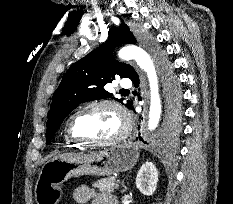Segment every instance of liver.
Returning <instances> with one entry per match:
<instances>
[{"instance_id": "obj_1", "label": "liver", "mask_w": 233, "mask_h": 204, "mask_svg": "<svg viewBox=\"0 0 233 204\" xmlns=\"http://www.w3.org/2000/svg\"><path fill=\"white\" fill-rule=\"evenodd\" d=\"M69 155H72V154H62L61 156H69Z\"/></svg>"}]
</instances>
